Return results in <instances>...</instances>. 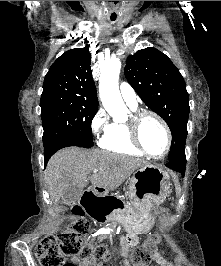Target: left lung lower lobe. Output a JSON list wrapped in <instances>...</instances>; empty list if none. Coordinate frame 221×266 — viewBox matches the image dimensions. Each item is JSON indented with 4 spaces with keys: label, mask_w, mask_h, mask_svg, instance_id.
I'll list each match as a JSON object with an SVG mask.
<instances>
[{
    "label": "left lung lower lobe",
    "mask_w": 221,
    "mask_h": 266,
    "mask_svg": "<svg viewBox=\"0 0 221 266\" xmlns=\"http://www.w3.org/2000/svg\"><path fill=\"white\" fill-rule=\"evenodd\" d=\"M166 166L171 168L172 170L180 172L184 176L186 168L185 153L183 155H177L169 159V162L166 164Z\"/></svg>",
    "instance_id": "left-lung-lower-lobe-1"
}]
</instances>
